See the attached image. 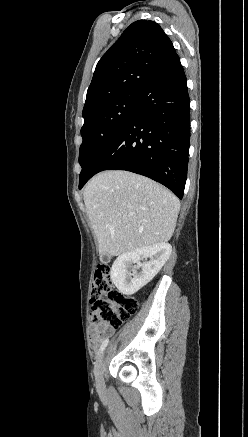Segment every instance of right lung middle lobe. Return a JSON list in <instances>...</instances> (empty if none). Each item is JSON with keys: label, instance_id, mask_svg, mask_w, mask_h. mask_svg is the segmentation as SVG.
I'll list each match as a JSON object with an SVG mask.
<instances>
[{"label": "right lung middle lobe", "instance_id": "obj_1", "mask_svg": "<svg viewBox=\"0 0 248 437\" xmlns=\"http://www.w3.org/2000/svg\"><path fill=\"white\" fill-rule=\"evenodd\" d=\"M137 94L120 96L84 117L83 142L79 151L80 180L89 172L93 160L131 114Z\"/></svg>", "mask_w": 248, "mask_h": 437}]
</instances>
